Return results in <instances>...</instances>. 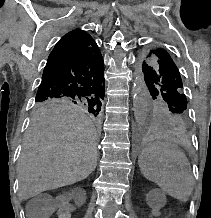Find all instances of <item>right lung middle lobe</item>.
I'll return each instance as SVG.
<instances>
[{
  "label": "right lung middle lobe",
  "instance_id": "1",
  "mask_svg": "<svg viewBox=\"0 0 211 218\" xmlns=\"http://www.w3.org/2000/svg\"><path fill=\"white\" fill-rule=\"evenodd\" d=\"M35 102L37 109H48L78 104L87 108L88 112L95 116H97L101 110V101L92 98L45 97L36 98Z\"/></svg>",
  "mask_w": 211,
  "mask_h": 218
}]
</instances>
